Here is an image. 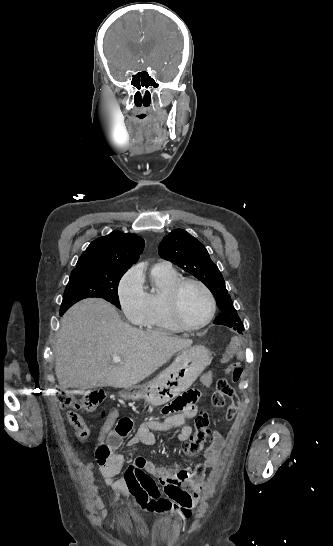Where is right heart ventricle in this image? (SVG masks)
<instances>
[{"mask_svg": "<svg viewBox=\"0 0 333 546\" xmlns=\"http://www.w3.org/2000/svg\"><path fill=\"white\" fill-rule=\"evenodd\" d=\"M179 273L172 267L154 266L149 273V281L143 288L146 299V314L142 326L154 332L177 333L181 329L169 316L166 299L173 284L180 279Z\"/></svg>", "mask_w": 333, "mask_h": 546, "instance_id": "1", "label": "right heart ventricle"}]
</instances>
